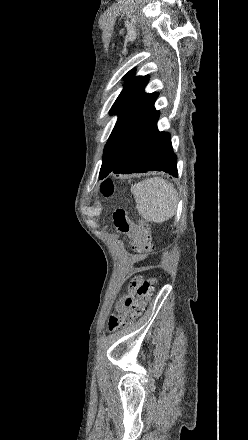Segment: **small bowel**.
Returning <instances> with one entry per match:
<instances>
[{"label": "small bowel", "instance_id": "small-bowel-1", "mask_svg": "<svg viewBox=\"0 0 248 440\" xmlns=\"http://www.w3.org/2000/svg\"><path fill=\"white\" fill-rule=\"evenodd\" d=\"M127 234L129 235V237L132 240L133 249L135 251H138L137 250V243H138L139 236H140V228L138 226L132 225L130 231H128ZM129 260L132 262H137V261L141 260V255H139V254L131 255L129 257Z\"/></svg>", "mask_w": 248, "mask_h": 440}]
</instances>
